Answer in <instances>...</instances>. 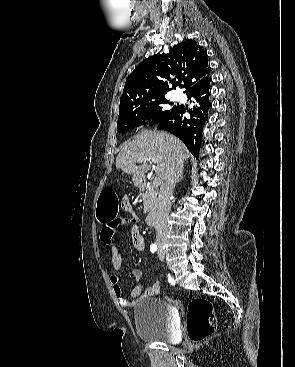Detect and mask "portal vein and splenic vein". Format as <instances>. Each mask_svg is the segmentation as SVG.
Here are the masks:
<instances>
[{
	"label": "portal vein and splenic vein",
	"instance_id": "1",
	"mask_svg": "<svg viewBox=\"0 0 295 367\" xmlns=\"http://www.w3.org/2000/svg\"><path fill=\"white\" fill-rule=\"evenodd\" d=\"M153 163H155V160H152ZM161 184V178L160 177H155L153 180V185L154 186H159Z\"/></svg>",
	"mask_w": 295,
	"mask_h": 367
}]
</instances>
